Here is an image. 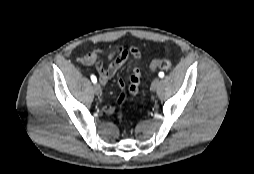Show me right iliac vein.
Returning <instances> with one entry per match:
<instances>
[{
  "label": "right iliac vein",
  "instance_id": "obj_1",
  "mask_svg": "<svg viewBox=\"0 0 254 174\" xmlns=\"http://www.w3.org/2000/svg\"><path fill=\"white\" fill-rule=\"evenodd\" d=\"M93 90L97 96L101 95V93H102V89L98 83L94 84Z\"/></svg>",
  "mask_w": 254,
  "mask_h": 174
}]
</instances>
